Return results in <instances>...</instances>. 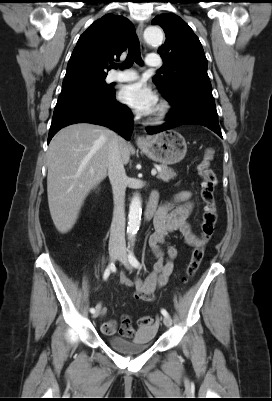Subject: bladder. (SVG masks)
Listing matches in <instances>:
<instances>
[{
  "label": "bladder",
  "instance_id": "bladder-1",
  "mask_svg": "<svg viewBox=\"0 0 272 401\" xmlns=\"http://www.w3.org/2000/svg\"><path fill=\"white\" fill-rule=\"evenodd\" d=\"M156 330H146L133 340H125L118 335L108 336L109 345L116 351L125 355H137L145 352L151 344Z\"/></svg>",
  "mask_w": 272,
  "mask_h": 401
}]
</instances>
